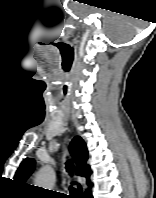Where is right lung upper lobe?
Returning a JSON list of instances; mask_svg holds the SVG:
<instances>
[{
  "instance_id": "right-lung-upper-lobe-1",
  "label": "right lung upper lobe",
  "mask_w": 156,
  "mask_h": 198,
  "mask_svg": "<svg viewBox=\"0 0 156 198\" xmlns=\"http://www.w3.org/2000/svg\"><path fill=\"white\" fill-rule=\"evenodd\" d=\"M70 151L73 155L74 161L77 165V174L79 176L86 177L89 179L91 170L90 166L86 164L88 159V151L85 142L82 140L81 137L76 136L71 144H70ZM35 160L27 158L25 159L20 167L18 168L14 180H17L20 183H23L28 176L32 173L34 168ZM88 185H90V181L88 180ZM89 190L86 192L88 193Z\"/></svg>"
}]
</instances>
